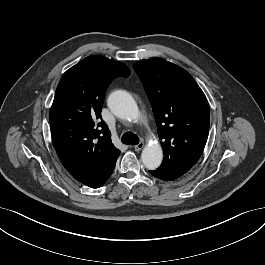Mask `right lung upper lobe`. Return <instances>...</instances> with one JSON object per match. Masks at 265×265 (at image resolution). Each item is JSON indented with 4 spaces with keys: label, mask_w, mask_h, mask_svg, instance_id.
Segmentation results:
<instances>
[{
    "label": "right lung upper lobe",
    "mask_w": 265,
    "mask_h": 265,
    "mask_svg": "<svg viewBox=\"0 0 265 265\" xmlns=\"http://www.w3.org/2000/svg\"><path fill=\"white\" fill-rule=\"evenodd\" d=\"M130 75L128 67L91 55L67 70L56 89L50 111L51 136L65 168L74 176L94 172L119 155L111 133L101 119L105 92L111 81Z\"/></svg>",
    "instance_id": "obj_1"
}]
</instances>
